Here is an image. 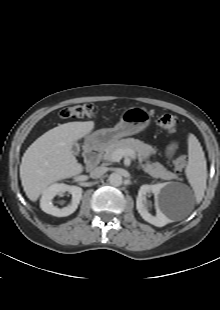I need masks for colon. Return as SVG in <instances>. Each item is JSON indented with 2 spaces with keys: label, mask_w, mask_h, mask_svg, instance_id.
<instances>
[{
  "label": "colon",
  "mask_w": 220,
  "mask_h": 310,
  "mask_svg": "<svg viewBox=\"0 0 220 310\" xmlns=\"http://www.w3.org/2000/svg\"><path fill=\"white\" fill-rule=\"evenodd\" d=\"M95 107L92 103H82L69 107H65L60 111V116L62 118H85L94 115ZM158 126L163 130L173 133L177 130L179 126V118L171 113H165L158 117ZM187 165V157L185 155H180L174 160L175 171L178 174L184 172Z\"/></svg>",
  "instance_id": "1"
}]
</instances>
